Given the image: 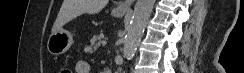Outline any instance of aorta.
Listing matches in <instances>:
<instances>
[{
	"mask_svg": "<svg viewBox=\"0 0 244 73\" xmlns=\"http://www.w3.org/2000/svg\"><path fill=\"white\" fill-rule=\"evenodd\" d=\"M154 3L155 0H137L136 2L124 41L123 53L127 59L132 58L136 51L138 42L143 35L153 10Z\"/></svg>",
	"mask_w": 244,
	"mask_h": 73,
	"instance_id": "obj_1",
	"label": "aorta"
}]
</instances>
